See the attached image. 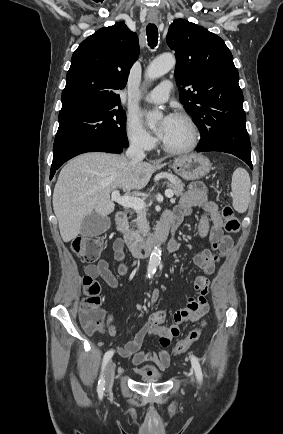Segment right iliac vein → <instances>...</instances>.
Wrapping results in <instances>:
<instances>
[{
    "mask_svg": "<svg viewBox=\"0 0 283 434\" xmlns=\"http://www.w3.org/2000/svg\"><path fill=\"white\" fill-rule=\"evenodd\" d=\"M114 376H115V364L112 360L109 361L107 366V372H106V389L110 390L112 388L113 382H114Z\"/></svg>",
    "mask_w": 283,
    "mask_h": 434,
    "instance_id": "1",
    "label": "right iliac vein"
}]
</instances>
